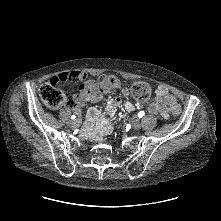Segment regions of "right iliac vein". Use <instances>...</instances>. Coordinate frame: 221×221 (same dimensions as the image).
Masks as SVG:
<instances>
[{"label":"right iliac vein","mask_w":221,"mask_h":221,"mask_svg":"<svg viewBox=\"0 0 221 221\" xmlns=\"http://www.w3.org/2000/svg\"><path fill=\"white\" fill-rule=\"evenodd\" d=\"M79 123H80L79 119H76V120H72V121L69 123V125H70V127L75 128V127L78 126Z\"/></svg>","instance_id":"63e3f726"}]
</instances>
